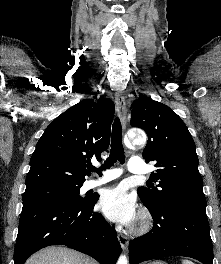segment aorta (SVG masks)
<instances>
[{
  "label": "aorta",
  "instance_id": "762f6f07",
  "mask_svg": "<svg viewBox=\"0 0 221 264\" xmlns=\"http://www.w3.org/2000/svg\"><path fill=\"white\" fill-rule=\"evenodd\" d=\"M131 139L135 144L142 145L146 141V137L144 135H137V136H131ZM117 264H128V259L126 256L121 255Z\"/></svg>",
  "mask_w": 221,
  "mask_h": 264
}]
</instances>
